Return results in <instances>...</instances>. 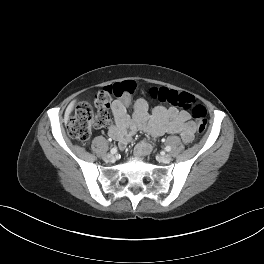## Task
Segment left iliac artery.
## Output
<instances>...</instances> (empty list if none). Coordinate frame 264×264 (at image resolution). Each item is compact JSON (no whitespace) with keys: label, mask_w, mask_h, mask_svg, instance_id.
Segmentation results:
<instances>
[{"label":"left iliac artery","mask_w":264,"mask_h":264,"mask_svg":"<svg viewBox=\"0 0 264 264\" xmlns=\"http://www.w3.org/2000/svg\"><path fill=\"white\" fill-rule=\"evenodd\" d=\"M165 150H166L167 152H169V151H171V147H170V146H166V147H165Z\"/></svg>","instance_id":"44dca946"}]
</instances>
